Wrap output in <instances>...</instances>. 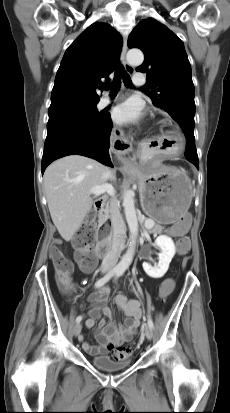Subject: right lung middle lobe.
<instances>
[{
  "label": "right lung middle lobe",
  "instance_id": "right-lung-middle-lobe-1",
  "mask_svg": "<svg viewBox=\"0 0 230 413\" xmlns=\"http://www.w3.org/2000/svg\"><path fill=\"white\" fill-rule=\"evenodd\" d=\"M96 104H64L49 108L47 129L59 123L99 121L103 114L98 112Z\"/></svg>",
  "mask_w": 230,
  "mask_h": 413
}]
</instances>
